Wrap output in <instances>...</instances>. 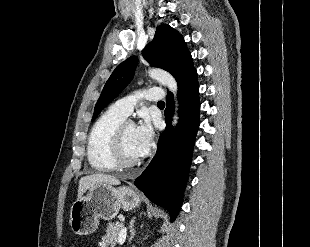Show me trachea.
I'll use <instances>...</instances> for the list:
<instances>
[{"label": "trachea", "mask_w": 310, "mask_h": 247, "mask_svg": "<svg viewBox=\"0 0 310 247\" xmlns=\"http://www.w3.org/2000/svg\"><path fill=\"white\" fill-rule=\"evenodd\" d=\"M158 105H165L164 101H159Z\"/></svg>", "instance_id": "trachea-1"}]
</instances>
